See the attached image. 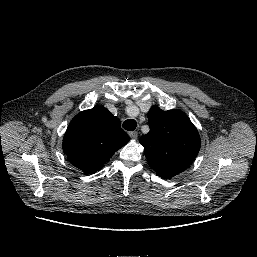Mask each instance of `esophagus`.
<instances>
[{"label":"esophagus","mask_w":257,"mask_h":257,"mask_svg":"<svg viewBox=\"0 0 257 257\" xmlns=\"http://www.w3.org/2000/svg\"><path fill=\"white\" fill-rule=\"evenodd\" d=\"M129 136L132 138V139H137V132L136 131H132V132H129Z\"/></svg>","instance_id":"1"}]
</instances>
